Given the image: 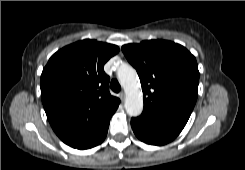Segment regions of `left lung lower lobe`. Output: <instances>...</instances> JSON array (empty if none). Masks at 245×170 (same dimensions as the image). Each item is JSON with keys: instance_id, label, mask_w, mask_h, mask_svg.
I'll return each instance as SVG.
<instances>
[{"instance_id": "1", "label": "left lung lower lobe", "mask_w": 245, "mask_h": 170, "mask_svg": "<svg viewBox=\"0 0 245 170\" xmlns=\"http://www.w3.org/2000/svg\"><path fill=\"white\" fill-rule=\"evenodd\" d=\"M186 123L143 110L139 117L131 119L135 135L151 145H164L175 139Z\"/></svg>"}]
</instances>
